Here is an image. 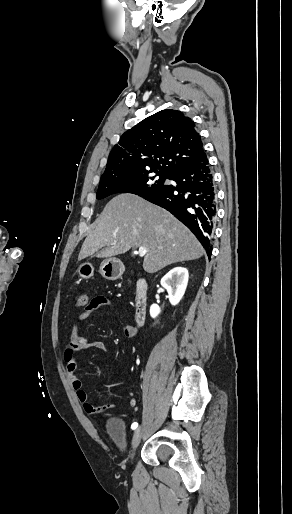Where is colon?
I'll list each match as a JSON object with an SVG mask.
<instances>
[{
	"label": "colon",
	"instance_id": "1",
	"mask_svg": "<svg viewBox=\"0 0 292 514\" xmlns=\"http://www.w3.org/2000/svg\"><path fill=\"white\" fill-rule=\"evenodd\" d=\"M76 310H88L89 306V297L86 291H80L76 297Z\"/></svg>",
	"mask_w": 292,
	"mask_h": 514
}]
</instances>
